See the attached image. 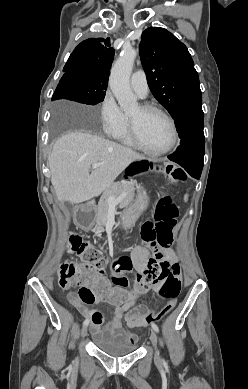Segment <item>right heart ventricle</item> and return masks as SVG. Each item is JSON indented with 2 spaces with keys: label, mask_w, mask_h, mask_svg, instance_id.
Returning a JSON list of instances; mask_svg holds the SVG:
<instances>
[{
  "label": "right heart ventricle",
  "mask_w": 248,
  "mask_h": 389,
  "mask_svg": "<svg viewBox=\"0 0 248 389\" xmlns=\"http://www.w3.org/2000/svg\"><path fill=\"white\" fill-rule=\"evenodd\" d=\"M117 140L121 141L122 143L137 148L138 146L135 144L133 139L131 138L130 132H129V122L128 117L126 116L125 122L121 130L114 136Z\"/></svg>",
  "instance_id": "right-heart-ventricle-1"
}]
</instances>
